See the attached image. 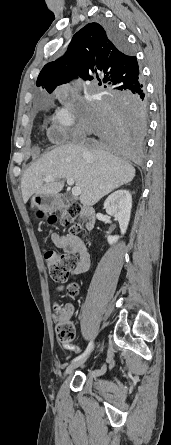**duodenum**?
I'll list each match as a JSON object with an SVG mask.
<instances>
[{
    "instance_id": "duodenum-1",
    "label": "duodenum",
    "mask_w": 171,
    "mask_h": 445,
    "mask_svg": "<svg viewBox=\"0 0 171 445\" xmlns=\"http://www.w3.org/2000/svg\"><path fill=\"white\" fill-rule=\"evenodd\" d=\"M59 208L64 211L67 207L66 198L60 195L58 198ZM82 215L84 219V227L87 231H91L94 228V210L89 206L82 207Z\"/></svg>"
}]
</instances>
